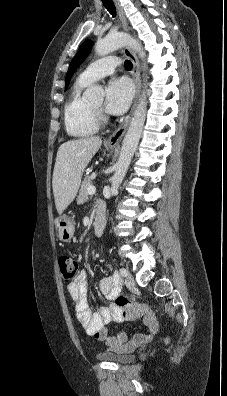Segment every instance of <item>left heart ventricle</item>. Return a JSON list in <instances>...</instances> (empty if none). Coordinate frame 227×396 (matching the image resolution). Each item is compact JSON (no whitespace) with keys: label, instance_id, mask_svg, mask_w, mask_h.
<instances>
[{"label":"left heart ventricle","instance_id":"left-heart-ventricle-1","mask_svg":"<svg viewBox=\"0 0 227 396\" xmlns=\"http://www.w3.org/2000/svg\"><path fill=\"white\" fill-rule=\"evenodd\" d=\"M94 106L97 108H101V103H96V104H94Z\"/></svg>","mask_w":227,"mask_h":396}]
</instances>
